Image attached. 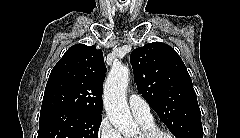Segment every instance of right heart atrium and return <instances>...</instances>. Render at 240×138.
Listing matches in <instances>:
<instances>
[{"instance_id": "1", "label": "right heart atrium", "mask_w": 240, "mask_h": 138, "mask_svg": "<svg viewBox=\"0 0 240 138\" xmlns=\"http://www.w3.org/2000/svg\"><path fill=\"white\" fill-rule=\"evenodd\" d=\"M97 138H122L120 132L112 125L107 117L100 121L97 132Z\"/></svg>"}]
</instances>
